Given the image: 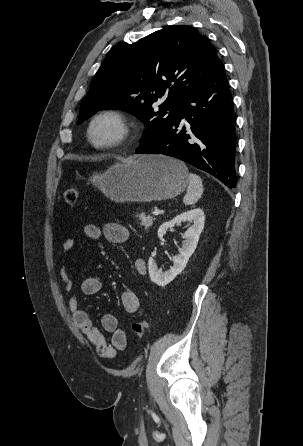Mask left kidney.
Listing matches in <instances>:
<instances>
[{"instance_id":"5707ae66","label":"left kidney","mask_w":303,"mask_h":446,"mask_svg":"<svg viewBox=\"0 0 303 446\" xmlns=\"http://www.w3.org/2000/svg\"><path fill=\"white\" fill-rule=\"evenodd\" d=\"M182 222H192L193 225L189 227L184 233L185 240L182 242V248L180 253L173 257V266L165 272L157 267L156 262L152 257L148 261V271L152 282L159 286H165L175 279L179 275L194 253L200 234L204 228L205 216L204 212L200 208H196L177 215L174 219L163 223L158 229V237L161 238L165 235L169 228L174 227L176 224L180 225Z\"/></svg>"}]
</instances>
